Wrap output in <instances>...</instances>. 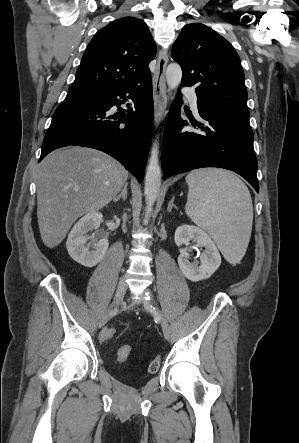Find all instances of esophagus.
Returning <instances> with one entry per match:
<instances>
[{
    "label": "esophagus",
    "instance_id": "obj_1",
    "mask_svg": "<svg viewBox=\"0 0 299 443\" xmlns=\"http://www.w3.org/2000/svg\"><path fill=\"white\" fill-rule=\"evenodd\" d=\"M168 55L160 52L157 60V68L153 78L154 120L156 126L163 120L166 113L167 93L165 84V72Z\"/></svg>",
    "mask_w": 299,
    "mask_h": 443
}]
</instances>
